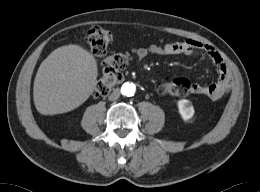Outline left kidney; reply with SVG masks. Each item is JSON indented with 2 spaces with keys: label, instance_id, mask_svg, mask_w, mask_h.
Listing matches in <instances>:
<instances>
[{
  "label": "left kidney",
  "instance_id": "1",
  "mask_svg": "<svg viewBox=\"0 0 260 192\" xmlns=\"http://www.w3.org/2000/svg\"><path fill=\"white\" fill-rule=\"evenodd\" d=\"M179 113L184 121H190L194 115L192 103L187 99H181L177 102Z\"/></svg>",
  "mask_w": 260,
  "mask_h": 192
}]
</instances>
